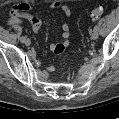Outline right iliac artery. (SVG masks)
<instances>
[{
  "label": "right iliac artery",
  "mask_w": 119,
  "mask_h": 119,
  "mask_svg": "<svg viewBox=\"0 0 119 119\" xmlns=\"http://www.w3.org/2000/svg\"><path fill=\"white\" fill-rule=\"evenodd\" d=\"M20 40H21V42H23L25 40V37L24 36H21L20 37Z\"/></svg>",
  "instance_id": "right-iliac-artery-1"
}]
</instances>
